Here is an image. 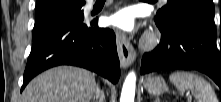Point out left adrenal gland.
<instances>
[{
	"mask_svg": "<svg viewBox=\"0 0 221 102\" xmlns=\"http://www.w3.org/2000/svg\"><path fill=\"white\" fill-rule=\"evenodd\" d=\"M154 102H160V99H159V98H157L156 100H154Z\"/></svg>",
	"mask_w": 221,
	"mask_h": 102,
	"instance_id": "left-adrenal-gland-1",
	"label": "left adrenal gland"
}]
</instances>
